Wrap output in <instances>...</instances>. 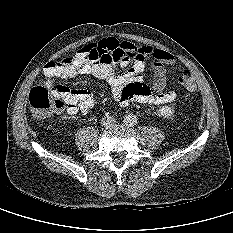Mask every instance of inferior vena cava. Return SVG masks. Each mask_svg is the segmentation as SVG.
<instances>
[{"instance_id": "inferior-vena-cava-1", "label": "inferior vena cava", "mask_w": 233, "mask_h": 233, "mask_svg": "<svg viewBox=\"0 0 233 233\" xmlns=\"http://www.w3.org/2000/svg\"><path fill=\"white\" fill-rule=\"evenodd\" d=\"M114 123H116V120L112 116H108L101 120V124L104 127H111Z\"/></svg>"}]
</instances>
